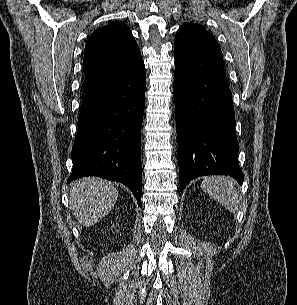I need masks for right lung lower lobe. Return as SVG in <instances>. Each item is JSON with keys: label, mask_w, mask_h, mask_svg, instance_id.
<instances>
[{"label": "right lung lower lobe", "mask_w": 297, "mask_h": 305, "mask_svg": "<svg viewBox=\"0 0 297 305\" xmlns=\"http://www.w3.org/2000/svg\"><path fill=\"white\" fill-rule=\"evenodd\" d=\"M144 63L128 75L84 93L67 183L98 176L126 185L141 202Z\"/></svg>", "instance_id": "right-lung-lower-lobe-1"}]
</instances>
